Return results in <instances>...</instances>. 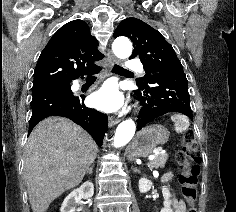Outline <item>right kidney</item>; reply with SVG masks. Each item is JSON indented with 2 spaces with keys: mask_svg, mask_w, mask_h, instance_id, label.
I'll use <instances>...</instances> for the list:
<instances>
[{
  "mask_svg": "<svg viewBox=\"0 0 236 212\" xmlns=\"http://www.w3.org/2000/svg\"><path fill=\"white\" fill-rule=\"evenodd\" d=\"M94 194V185L91 181L83 183L79 188L74 189L63 201L60 212H75L76 205L82 198L90 199Z\"/></svg>",
  "mask_w": 236,
  "mask_h": 212,
  "instance_id": "obj_1",
  "label": "right kidney"
}]
</instances>
